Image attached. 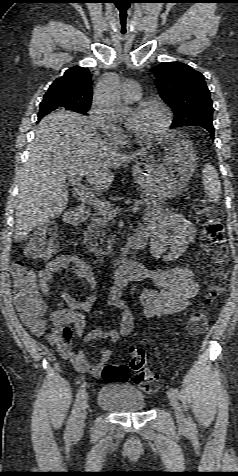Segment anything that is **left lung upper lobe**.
I'll return each instance as SVG.
<instances>
[{"instance_id":"5c2ea615","label":"left lung upper lobe","mask_w":238,"mask_h":476,"mask_svg":"<svg viewBox=\"0 0 238 476\" xmlns=\"http://www.w3.org/2000/svg\"><path fill=\"white\" fill-rule=\"evenodd\" d=\"M161 98L172 108L171 128L198 125L213 127V107L205 77L180 62H162L152 68Z\"/></svg>"}]
</instances>
